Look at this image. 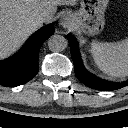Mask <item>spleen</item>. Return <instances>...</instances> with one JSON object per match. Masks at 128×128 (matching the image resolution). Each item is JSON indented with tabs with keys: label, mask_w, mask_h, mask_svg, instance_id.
Returning <instances> with one entry per match:
<instances>
[{
	"label": "spleen",
	"mask_w": 128,
	"mask_h": 128,
	"mask_svg": "<svg viewBox=\"0 0 128 128\" xmlns=\"http://www.w3.org/2000/svg\"><path fill=\"white\" fill-rule=\"evenodd\" d=\"M91 53L98 68L109 76H128V39L119 43L92 41Z\"/></svg>",
	"instance_id": "1"
}]
</instances>
